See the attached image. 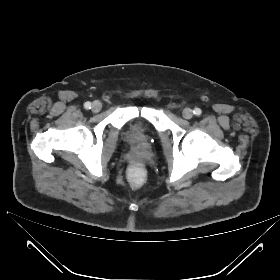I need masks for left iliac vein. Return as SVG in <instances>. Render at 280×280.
Instances as JSON below:
<instances>
[{
	"instance_id": "4c4485c4",
	"label": "left iliac vein",
	"mask_w": 280,
	"mask_h": 280,
	"mask_svg": "<svg viewBox=\"0 0 280 280\" xmlns=\"http://www.w3.org/2000/svg\"><path fill=\"white\" fill-rule=\"evenodd\" d=\"M182 115L185 119H191L193 117V111L190 108H185Z\"/></svg>"
}]
</instances>
